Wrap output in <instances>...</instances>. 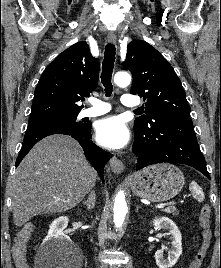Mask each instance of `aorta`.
Returning <instances> with one entry per match:
<instances>
[{
  "label": "aorta",
  "instance_id": "1",
  "mask_svg": "<svg viewBox=\"0 0 221 268\" xmlns=\"http://www.w3.org/2000/svg\"><path fill=\"white\" fill-rule=\"evenodd\" d=\"M114 82L119 87H126L131 82L130 74L126 72L116 73L114 76ZM114 224L116 228H120L125 220L127 213V204L125 200V194L123 191H119L114 201Z\"/></svg>",
  "mask_w": 221,
  "mask_h": 268
}]
</instances>
